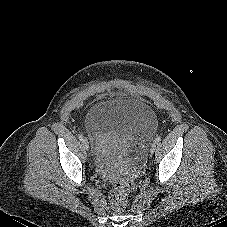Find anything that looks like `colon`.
Instances as JSON below:
<instances>
[{
    "label": "colon",
    "mask_w": 227,
    "mask_h": 227,
    "mask_svg": "<svg viewBox=\"0 0 227 227\" xmlns=\"http://www.w3.org/2000/svg\"><path fill=\"white\" fill-rule=\"evenodd\" d=\"M132 183L130 181H125L119 179L115 182L114 187L111 191L110 201L112 207L121 211L126 207L128 192L131 188Z\"/></svg>",
    "instance_id": "obj_1"
}]
</instances>
